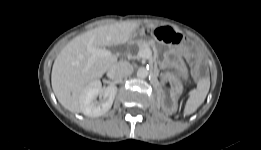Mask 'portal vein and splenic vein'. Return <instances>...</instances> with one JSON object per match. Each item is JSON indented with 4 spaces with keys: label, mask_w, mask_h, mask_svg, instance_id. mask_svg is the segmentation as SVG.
Masks as SVG:
<instances>
[{
    "label": "portal vein and splenic vein",
    "mask_w": 261,
    "mask_h": 150,
    "mask_svg": "<svg viewBox=\"0 0 261 150\" xmlns=\"http://www.w3.org/2000/svg\"><path fill=\"white\" fill-rule=\"evenodd\" d=\"M87 50H88V52L91 53L89 65L93 64L94 61L96 60V58H98V57H108L111 55V52L109 50H106L104 48L102 49V48L94 47L92 45V43H90L88 45ZM148 55H149V50H147V49L139 51L140 57H147Z\"/></svg>",
    "instance_id": "portal-vein-and-splenic-vein-1"
}]
</instances>
